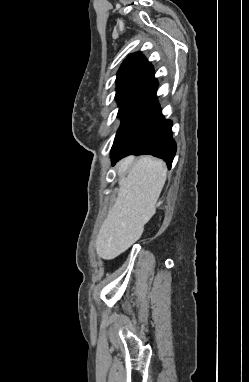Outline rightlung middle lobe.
<instances>
[{
    "instance_id": "right-lung-middle-lobe-1",
    "label": "right lung middle lobe",
    "mask_w": 249,
    "mask_h": 382,
    "mask_svg": "<svg viewBox=\"0 0 249 382\" xmlns=\"http://www.w3.org/2000/svg\"><path fill=\"white\" fill-rule=\"evenodd\" d=\"M150 103L130 102L119 104L118 117L122 123L117 131L116 138L127 132L152 106Z\"/></svg>"
}]
</instances>
